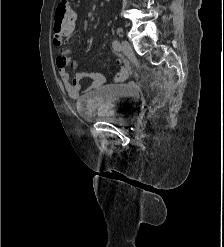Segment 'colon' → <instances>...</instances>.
<instances>
[{
    "label": "colon",
    "instance_id": "1",
    "mask_svg": "<svg viewBox=\"0 0 224 247\" xmlns=\"http://www.w3.org/2000/svg\"><path fill=\"white\" fill-rule=\"evenodd\" d=\"M75 29V11L73 6L67 0H61L55 11L54 31L57 34L70 37ZM128 72L125 69H120L116 79L119 82L127 80Z\"/></svg>",
    "mask_w": 224,
    "mask_h": 247
}]
</instances>
